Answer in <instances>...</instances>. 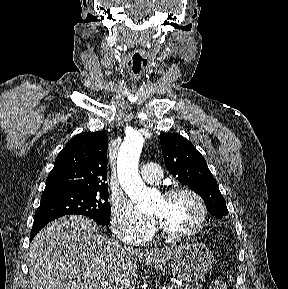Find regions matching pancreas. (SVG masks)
Returning a JSON list of instances; mask_svg holds the SVG:
<instances>
[{"label": "pancreas", "mask_w": 288, "mask_h": 289, "mask_svg": "<svg viewBox=\"0 0 288 289\" xmlns=\"http://www.w3.org/2000/svg\"><path fill=\"white\" fill-rule=\"evenodd\" d=\"M201 284H195L194 286L191 285H183V286H175V287H169V289H201Z\"/></svg>", "instance_id": "1"}]
</instances>
